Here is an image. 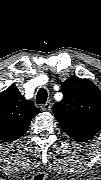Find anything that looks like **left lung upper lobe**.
<instances>
[{
  "instance_id": "left-lung-upper-lobe-1",
  "label": "left lung upper lobe",
  "mask_w": 101,
  "mask_h": 180,
  "mask_svg": "<svg viewBox=\"0 0 101 180\" xmlns=\"http://www.w3.org/2000/svg\"><path fill=\"white\" fill-rule=\"evenodd\" d=\"M63 99L53 112L62 130L78 142H86L101 128V91L88 79L75 76L61 85Z\"/></svg>"
}]
</instances>
